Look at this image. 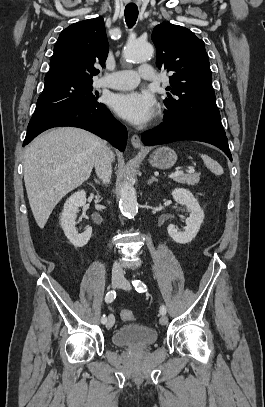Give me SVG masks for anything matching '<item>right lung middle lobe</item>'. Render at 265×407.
I'll return each mask as SVG.
<instances>
[{
    "label": "right lung middle lobe",
    "instance_id": "obj_1",
    "mask_svg": "<svg viewBox=\"0 0 265 407\" xmlns=\"http://www.w3.org/2000/svg\"><path fill=\"white\" fill-rule=\"evenodd\" d=\"M92 90V80H45L31 120L71 108L95 105L99 103L98 94Z\"/></svg>",
    "mask_w": 265,
    "mask_h": 407
}]
</instances>
